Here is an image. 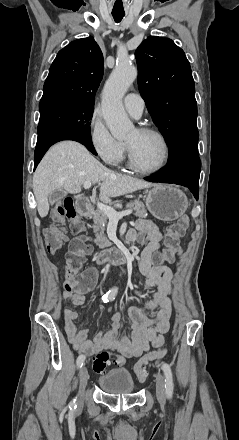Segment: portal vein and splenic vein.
<instances>
[{
  "instance_id": "18ae733b",
  "label": "portal vein and splenic vein",
  "mask_w": 239,
  "mask_h": 440,
  "mask_svg": "<svg viewBox=\"0 0 239 440\" xmlns=\"http://www.w3.org/2000/svg\"><path fill=\"white\" fill-rule=\"evenodd\" d=\"M84 190H89L91 188V182H84L83 184ZM97 208L101 210V212H104L106 216H108L110 222H118V220H121L123 216H128V214H132L130 209H126V212H116L114 208H110V206H106V204H101V202H98Z\"/></svg>"
}]
</instances>
